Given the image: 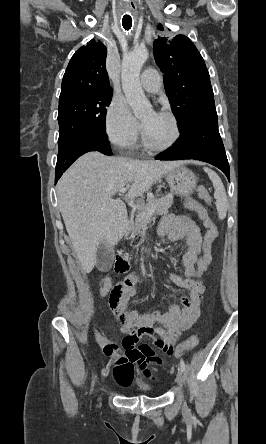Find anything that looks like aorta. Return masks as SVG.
I'll use <instances>...</instances> for the list:
<instances>
[{
	"label": "aorta",
	"instance_id": "762f6f07",
	"mask_svg": "<svg viewBox=\"0 0 266 444\" xmlns=\"http://www.w3.org/2000/svg\"><path fill=\"white\" fill-rule=\"evenodd\" d=\"M148 51L139 48L123 58L122 62V87L125 97L136 117H141L151 110V104L142 90L139 76L143 64L148 58Z\"/></svg>",
	"mask_w": 266,
	"mask_h": 444
}]
</instances>
